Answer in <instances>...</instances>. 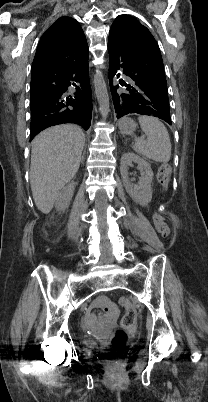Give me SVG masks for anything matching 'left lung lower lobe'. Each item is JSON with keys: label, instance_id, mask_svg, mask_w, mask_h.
Segmentation results:
<instances>
[{"label": "left lung lower lobe", "instance_id": "left-lung-lower-lobe-1", "mask_svg": "<svg viewBox=\"0 0 208 402\" xmlns=\"http://www.w3.org/2000/svg\"><path fill=\"white\" fill-rule=\"evenodd\" d=\"M108 52L109 84L117 118L137 113L158 117L171 125L168 93L155 84L142 80L133 72V47L125 39L110 32ZM118 70L128 76L126 82L119 81L122 87L113 85V77Z\"/></svg>", "mask_w": 208, "mask_h": 402}]
</instances>
